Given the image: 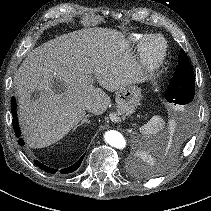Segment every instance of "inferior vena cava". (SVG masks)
Wrapping results in <instances>:
<instances>
[{
  "instance_id": "inferior-vena-cava-1",
  "label": "inferior vena cava",
  "mask_w": 211,
  "mask_h": 211,
  "mask_svg": "<svg viewBox=\"0 0 211 211\" xmlns=\"http://www.w3.org/2000/svg\"><path fill=\"white\" fill-rule=\"evenodd\" d=\"M86 109L88 112H93L94 111V105L92 103H88L86 106Z\"/></svg>"
}]
</instances>
